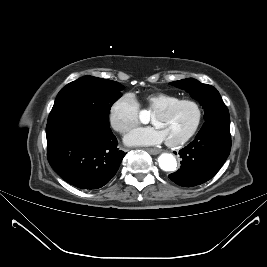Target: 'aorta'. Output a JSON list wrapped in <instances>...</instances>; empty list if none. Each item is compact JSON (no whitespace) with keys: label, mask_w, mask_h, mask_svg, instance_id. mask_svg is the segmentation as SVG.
Listing matches in <instances>:
<instances>
[{"label":"aorta","mask_w":267,"mask_h":267,"mask_svg":"<svg viewBox=\"0 0 267 267\" xmlns=\"http://www.w3.org/2000/svg\"><path fill=\"white\" fill-rule=\"evenodd\" d=\"M159 167L164 171H174L177 167L175 157L170 153H162L158 157Z\"/></svg>","instance_id":"1"}]
</instances>
